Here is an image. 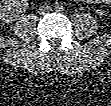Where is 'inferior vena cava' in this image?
I'll list each match as a JSON object with an SVG mask.
<instances>
[{
	"label": "inferior vena cava",
	"instance_id": "inferior-vena-cava-1",
	"mask_svg": "<svg viewBox=\"0 0 111 106\" xmlns=\"http://www.w3.org/2000/svg\"><path fill=\"white\" fill-rule=\"evenodd\" d=\"M52 11V8L48 5L41 6L39 9L40 14L45 15Z\"/></svg>",
	"mask_w": 111,
	"mask_h": 106
}]
</instances>
